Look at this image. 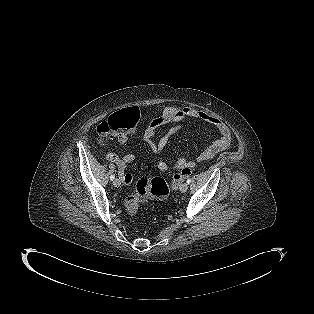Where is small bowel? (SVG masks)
Listing matches in <instances>:
<instances>
[{
	"label": "small bowel",
	"instance_id": "c3829d8e",
	"mask_svg": "<svg viewBox=\"0 0 314 314\" xmlns=\"http://www.w3.org/2000/svg\"><path fill=\"white\" fill-rule=\"evenodd\" d=\"M199 120L206 122L212 125L219 132V138L214 140L210 145H208L202 152L199 154L198 161H207L215 157L221 151L227 149L231 143V130L218 118L213 115L197 110L191 107H185L182 109H177L173 107L165 108L164 111L157 117H155L146 127L144 131V140L149 145L151 151L156 155H161L165 147L168 145L170 139L182 130L181 123L186 120ZM175 124L170 127L157 141L154 140V137L157 131L166 125ZM116 139L119 143H125L129 139L128 134L117 135ZM103 138L100 139V144H103ZM106 158L115 163L118 168L121 170V177L124 183H130L132 180V175L129 173H124V169L127 163L134 159V154L132 152H127L123 157L117 156L113 152H108ZM194 163L187 160L185 157H180L175 162V167L178 169H183L184 167H192ZM157 167L161 171H167L169 166L168 163L159 159L157 162Z\"/></svg>",
	"mask_w": 314,
	"mask_h": 314
}]
</instances>
